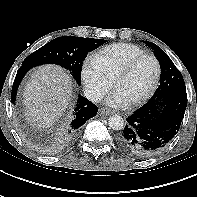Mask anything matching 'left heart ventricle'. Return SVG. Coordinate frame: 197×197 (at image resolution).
I'll return each mask as SVG.
<instances>
[{
  "label": "left heart ventricle",
  "instance_id": "b2bd125f",
  "mask_svg": "<svg viewBox=\"0 0 197 197\" xmlns=\"http://www.w3.org/2000/svg\"><path fill=\"white\" fill-rule=\"evenodd\" d=\"M155 74L156 67L154 62L146 59L140 62L131 74L121 78L115 87L129 102L147 92L153 83Z\"/></svg>",
  "mask_w": 197,
  "mask_h": 197
}]
</instances>
